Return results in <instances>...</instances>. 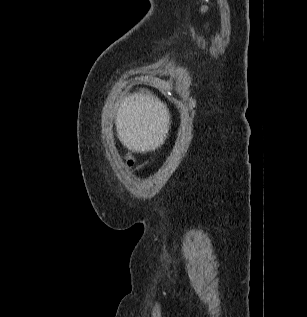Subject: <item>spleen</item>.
<instances>
[{
    "mask_svg": "<svg viewBox=\"0 0 307 317\" xmlns=\"http://www.w3.org/2000/svg\"><path fill=\"white\" fill-rule=\"evenodd\" d=\"M157 96L156 91H138L131 94L128 104H125L117 115L120 139L129 148L142 145V148H138V155H145V150L161 148L160 139H167L168 136L162 129H172V122H160L166 111L158 101L153 100Z\"/></svg>",
    "mask_w": 307,
    "mask_h": 317,
    "instance_id": "3e777b00",
    "label": "spleen"
}]
</instances>
